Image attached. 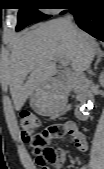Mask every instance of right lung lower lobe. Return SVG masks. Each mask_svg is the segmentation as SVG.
Here are the masks:
<instances>
[{"label":"right lung lower lobe","instance_id":"98d812e1","mask_svg":"<svg viewBox=\"0 0 104 169\" xmlns=\"http://www.w3.org/2000/svg\"><path fill=\"white\" fill-rule=\"evenodd\" d=\"M68 9L81 29L104 41V0H77Z\"/></svg>","mask_w":104,"mask_h":169}]
</instances>
